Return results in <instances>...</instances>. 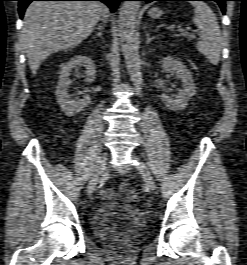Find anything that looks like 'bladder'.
<instances>
[{
    "mask_svg": "<svg viewBox=\"0 0 247 265\" xmlns=\"http://www.w3.org/2000/svg\"><path fill=\"white\" fill-rule=\"evenodd\" d=\"M145 227L142 211L136 206L123 203L100 206L91 221L92 234L104 241L136 238L144 232Z\"/></svg>",
    "mask_w": 247,
    "mask_h": 265,
    "instance_id": "bladder-1",
    "label": "bladder"
}]
</instances>
